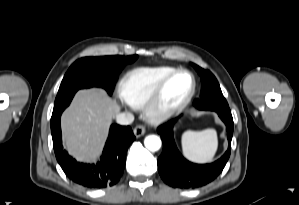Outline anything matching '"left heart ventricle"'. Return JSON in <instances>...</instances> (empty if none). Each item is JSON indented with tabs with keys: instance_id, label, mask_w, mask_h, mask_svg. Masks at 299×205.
<instances>
[{
	"instance_id": "obj_1",
	"label": "left heart ventricle",
	"mask_w": 299,
	"mask_h": 205,
	"mask_svg": "<svg viewBox=\"0 0 299 205\" xmlns=\"http://www.w3.org/2000/svg\"><path fill=\"white\" fill-rule=\"evenodd\" d=\"M191 87V80L188 75L182 74L177 76L167 87L163 103L166 106H171L182 100Z\"/></svg>"
}]
</instances>
